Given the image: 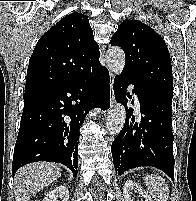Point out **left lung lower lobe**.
Masks as SVG:
<instances>
[{
	"instance_id": "0a47b994",
	"label": "left lung lower lobe",
	"mask_w": 196,
	"mask_h": 201,
	"mask_svg": "<svg viewBox=\"0 0 196 201\" xmlns=\"http://www.w3.org/2000/svg\"><path fill=\"white\" fill-rule=\"evenodd\" d=\"M133 84L138 96L141 116L136 120L133 109L126 110L125 125L111 145L113 163L118 175L125 171L152 166L174 180L173 133L171 129L172 97L149 89L133 78L121 74L114 80V94L126 106V88ZM130 97L129 94H127Z\"/></svg>"
}]
</instances>
